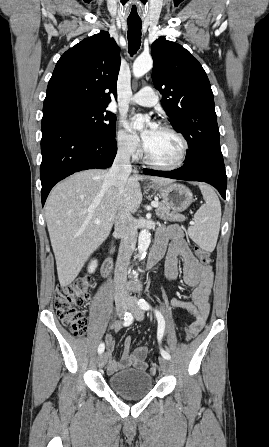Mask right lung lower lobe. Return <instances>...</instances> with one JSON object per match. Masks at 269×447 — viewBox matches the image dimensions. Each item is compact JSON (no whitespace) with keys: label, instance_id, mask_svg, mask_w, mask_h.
I'll use <instances>...</instances> for the list:
<instances>
[{"label":"right lung lower lobe","instance_id":"98d812e1","mask_svg":"<svg viewBox=\"0 0 269 447\" xmlns=\"http://www.w3.org/2000/svg\"><path fill=\"white\" fill-rule=\"evenodd\" d=\"M116 151L115 136L89 132L64 114L43 115L42 206L57 182L81 170L110 167Z\"/></svg>","mask_w":269,"mask_h":447}]
</instances>
